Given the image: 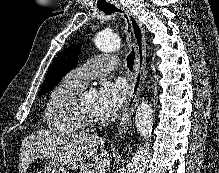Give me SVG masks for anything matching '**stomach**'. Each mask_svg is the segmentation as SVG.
I'll return each instance as SVG.
<instances>
[{"mask_svg": "<svg viewBox=\"0 0 219 173\" xmlns=\"http://www.w3.org/2000/svg\"><path fill=\"white\" fill-rule=\"evenodd\" d=\"M44 173H69L57 160H49L43 169Z\"/></svg>", "mask_w": 219, "mask_h": 173, "instance_id": "1", "label": "stomach"}]
</instances>
